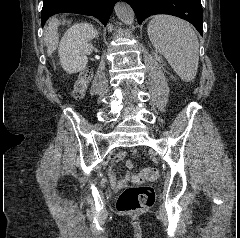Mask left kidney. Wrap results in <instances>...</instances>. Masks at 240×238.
<instances>
[{
    "instance_id": "left-kidney-1",
    "label": "left kidney",
    "mask_w": 240,
    "mask_h": 238,
    "mask_svg": "<svg viewBox=\"0 0 240 238\" xmlns=\"http://www.w3.org/2000/svg\"><path fill=\"white\" fill-rule=\"evenodd\" d=\"M156 58H157L158 60H160V57H157V56H156Z\"/></svg>"
}]
</instances>
